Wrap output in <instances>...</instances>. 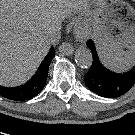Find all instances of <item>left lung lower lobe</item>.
<instances>
[{
  "label": "left lung lower lobe",
  "mask_w": 135,
  "mask_h": 135,
  "mask_svg": "<svg viewBox=\"0 0 135 135\" xmlns=\"http://www.w3.org/2000/svg\"><path fill=\"white\" fill-rule=\"evenodd\" d=\"M87 46L92 52V65L84 75L86 86L95 94L116 98L125 94L135 85V67L125 74H116L106 69L99 61L95 44L88 40Z\"/></svg>",
  "instance_id": "0a47b994"
}]
</instances>
